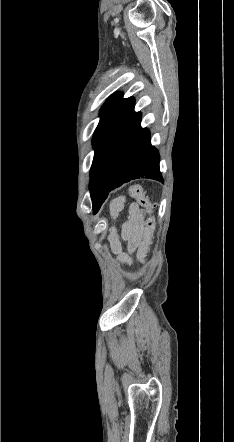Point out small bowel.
<instances>
[{
    "label": "small bowel",
    "instance_id": "c3829d8e",
    "mask_svg": "<svg viewBox=\"0 0 234 442\" xmlns=\"http://www.w3.org/2000/svg\"><path fill=\"white\" fill-rule=\"evenodd\" d=\"M123 199H117L112 202L110 206V212L113 218H116L118 214L123 210ZM143 228V213L140 210L138 204L131 203L128 207V215L126 220L121 225V238L128 242V248L133 251L139 242L141 231ZM110 242L112 249L115 253L119 254L120 259L126 263H131V259L128 255L121 252L120 237L112 229L110 234Z\"/></svg>",
    "mask_w": 234,
    "mask_h": 442
}]
</instances>
